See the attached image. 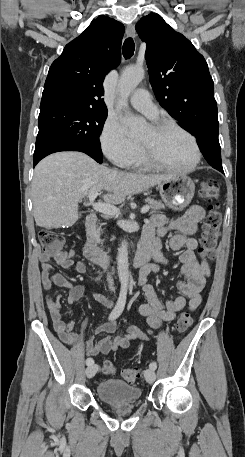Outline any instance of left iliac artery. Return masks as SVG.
Here are the masks:
<instances>
[{
  "label": "left iliac artery",
  "instance_id": "44dca946",
  "mask_svg": "<svg viewBox=\"0 0 245 457\" xmlns=\"http://www.w3.org/2000/svg\"><path fill=\"white\" fill-rule=\"evenodd\" d=\"M149 368H151V369L155 370V369L157 368V364H156V362H154V361H153V362H151V363H150V365H149Z\"/></svg>",
  "mask_w": 245,
  "mask_h": 457
}]
</instances>
